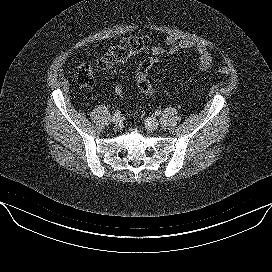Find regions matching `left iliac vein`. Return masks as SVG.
<instances>
[{
    "instance_id": "left-iliac-vein-1",
    "label": "left iliac vein",
    "mask_w": 272,
    "mask_h": 272,
    "mask_svg": "<svg viewBox=\"0 0 272 272\" xmlns=\"http://www.w3.org/2000/svg\"><path fill=\"white\" fill-rule=\"evenodd\" d=\"M145 126L148 130H157L159 127L158 121L153 117H147L145 119Z\"/></svg>"
}]
</instances>
